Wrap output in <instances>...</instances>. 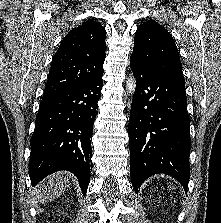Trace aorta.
Instances as JSON below:
<instances>
[{"label":"aorta","instance_id":"762f6f07","mask_svg":"<svg viewBox=\"0 0 221 223\" xmlns=\"http://www.w3.org/2000/svg\"><path fill=\"white\" fill-rule=\"evenodd\" d=\"M126 88H127V91L129 92V94H131V96H133V94L135 93V90H136V80H135L134 76L131 75L127 79Z\"/></svg>","mask_w":221,"mask_h":223}]
</instances>
